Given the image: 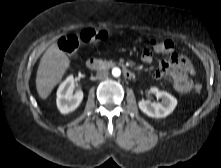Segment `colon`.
Here are the masks:
<instances>
[{
    "instance_id": "1",
    "label": "colon",
    "mask_w": 221,
    "mask_h": 168,
    "mask_svg": "<svg viewBox=\"0 0 221 168\" xmlns=\"http://www.w3.org/2000/svg\"><path fill=\"white\" fill-rule=\"evenodd\" d=\"M107 38V32L103 30L87 29L82 31L79 35H66L60 38L58 45L61 50L68 54L74 53L81 43H85L89 46H94ZM153 49L160 53L168 52L171 48L170 43L166 41H151ZM202 86L196 84L194 91L200 93Z\"/></svg>"
}]
</instances>
